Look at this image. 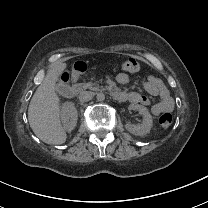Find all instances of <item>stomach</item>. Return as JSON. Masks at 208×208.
<instances>
[{
  "label": "stomach",
  "instance_id": "stomach-1",
  "mask_svg": "<svg viewBox=\"0 0 208 208\" xmlns=\"http://www.w3.org/2000/svg\"><path fill=\"white\" fill-rule=\"evenodd\" d=\"M88 74L89 75H94L95 74V71H89Z\"/></svg>",
  "mask_w": 208,
  "mask_h": 208
}]
</instances>
